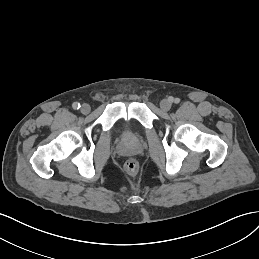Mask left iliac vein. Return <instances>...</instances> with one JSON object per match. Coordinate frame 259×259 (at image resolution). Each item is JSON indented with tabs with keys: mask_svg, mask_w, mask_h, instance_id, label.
<instances>
[{
	"mask_svg": "<svg viewBox=\"0 0 259 259\" xmlns=\"http://www.w3.org/2000/svg\"><path fill=\"white\" fill-rule=\"evenodd\" d=\"M160 107L162 110L164 111H168L171 108V101L167 100V99H163L160 103Z\"/></svg>",
	"mask_w": 259,
	"mask_h": 259,
	"instance_id": "1",
	"label": "left iliac vein"
}]
</instances>
